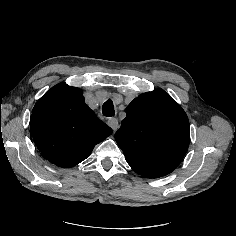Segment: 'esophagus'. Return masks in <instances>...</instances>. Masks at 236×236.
<instances>
[{"label": "esophagus", "instance_id": "obj_1", "mask_svg": "<svg viewBox=\"0 0 236 236\" xmlns=\"http://www.w3.org/2000/svg\"><path fill=\"white\" fill-rule=\"evenodd\" d=\"M108 125L115 131L118 128V120L116 118H110L107 121Z\"/></svg>", "mask_w": 236, "mask_h": 236}]
</instances>
